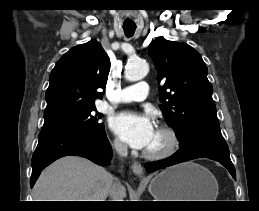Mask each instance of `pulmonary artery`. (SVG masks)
<instances>
[{"label":"pulmonary artery","instance_id":"e3ab8cb5","mask_svg":"<svg viewBox=\"0 0 259 211\" xmlns=\"http://www.w3.org/2000/svg\"><path fill=\"white\" fill-rule=\"evenodd\" d=\"M148 84L146 82H139L137 84L125 87L122 89L116 101L119 103H130L144 101L148 96Z\"/></svg>","mask_w":259,"mask_h":211}]
</instances>
